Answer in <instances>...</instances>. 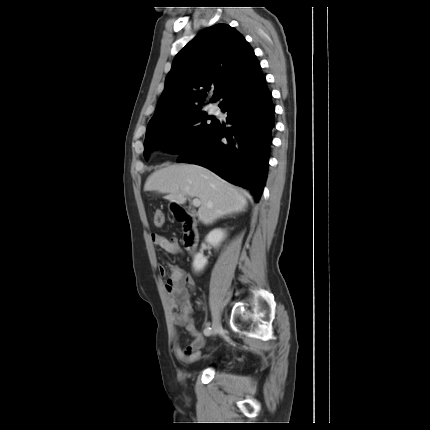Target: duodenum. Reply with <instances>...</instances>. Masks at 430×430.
<instances>
[{"label": "duodenum", "mask_w": 430, "mask_h": 430, "mask_svg": "<svg viewBox=\"0 0 430 430\" xmlns=\"http://www.w3.org/2000/svg\"><path fill=\"white\" fill-rule=\"evenodd\" d=\"M176 219L182 224L183 242L185 247L193 251L199 243V233L196 220L181 207L174 210Z\"/></svg>", "instance_id": "duodenum-1"}]
</instances>
